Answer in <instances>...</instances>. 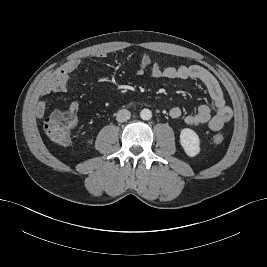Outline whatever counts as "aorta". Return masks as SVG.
Here are the masks:
<instances>
[{
    "label": "aorta",
    "mask_w": 267,
    "mask_h": 267,
    "mask_svg": "<svg viewBox=\"0 0 267 267\" xmlns=\"http://www.w3.org/2000/svg\"><path fill=\"white\" fill-rule=\"evenodd\" d=\"M140 117L143 120H150L152 117V112L149 109H143L140 112Z\"/></svg>",
    "instance_id": "1"
}]
</instances>
